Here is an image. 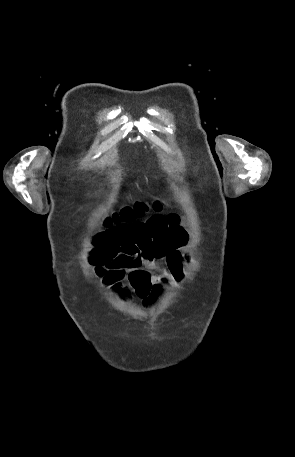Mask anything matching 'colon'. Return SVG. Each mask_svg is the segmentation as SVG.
<instances>
[{
  "instance_id": "1",
  "label": "colon",
  "mask_w": 295,
  "mask_h": 457,
  "mask_svg": "<svg viewBox=\"0 0 295 457\" xmlns=\"http://www.w3.org/2000/svg\"><path fill=\"white\" fill-rule=\"evenodd\" d=\"M152 207L154 210H159L161 204L156 202L150 206L143 201H137L132 206H126L119 211L112 213L105 221L109 227L131 224L137 218L142 217ZM140 249L135 246H128L122 253H112L99 261L97 272L99 275L105 277L108 282H117L122 280L129 269L137 267L140 264L139 260ZM150 289L145 287L141 291L142 296H147Z\"/></svg>"
}]
</instances>
